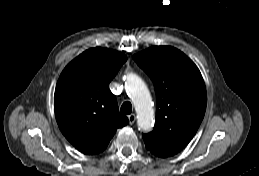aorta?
I'll return each instance as SVG.
<instances>
[{"instance_id": "aorta-1", "label": "aorta", "mask_w": 259, "mask_h": 176, "mask_svg": "<svg viewBox=\"0 0 259 176\" xmlns=\"http://www.w3.org/2000/svg\"><path fill=\"white\" fill-rule=\"evenodd\" d=\"M126 90L134 103L139 129L150 130L154 124V111L146 84L138 75L130 73L126 79Z\"/></svg>"}]
</instances>
